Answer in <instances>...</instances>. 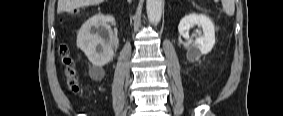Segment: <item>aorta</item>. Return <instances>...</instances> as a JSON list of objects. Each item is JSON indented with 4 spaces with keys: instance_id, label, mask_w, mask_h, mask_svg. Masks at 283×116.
Instances as JSON below:
<instances>
[{
    "instance_id": "obj_1",
    "label": "aorta",
    "mask_w": 283,
    "mask_h": 116,
    "mask_svg": "<svg viewBox=\"0 0 283 116\" xmlns=\"http://www.w3.org/2000/svg\"><path fill=\"white\" fill-rule=\"evenodd\" d=\"M146 9L150 23L157 25L162 16V0H147Z\"/></svg>"
}]
</instances>
